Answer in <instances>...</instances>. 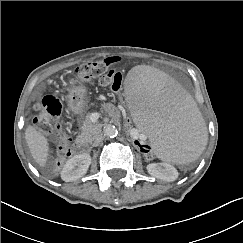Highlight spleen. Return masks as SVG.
<instances>
[{"mask_svg":"<svg viewBox=\"0 0 243 243\" xmlns=\"http://www.w3.org/2000/svg\"><path fill=\"white\" fill-rule=\"evenodd\" d=\"M123 89L136 124L162 160L184 164L204 150L208 135L203 116L181 80L145 66L129 73Z\"/></svg>","mask_w":243,"mask_h":243,"instance_id":"1","label":"spleen"}]
</instances>
